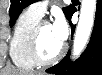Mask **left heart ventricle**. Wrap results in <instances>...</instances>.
Returning <instances> with one entry per match:
<instances>
[{"label":"left heart ventricle","instance_id":"left-heart-ventricle-1","mask_svg":"<svg viewBox=\"0 0 102 75\" xmlns=\"http://www.w3.org/2000/svg\"><path fill=\"white\" fill-rule=\"evenodd\" d=\"M63 44L59 41L52 25H46L39 37V51L44 59L54 57L62 48Z\"/></svg>","mask_w":102,"mask_h":75}]
</instances>
